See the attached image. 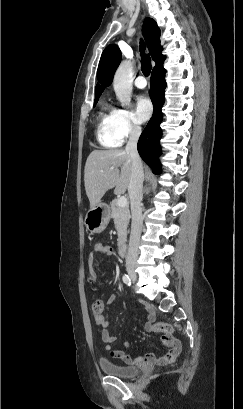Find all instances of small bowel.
Instances as JSON below:
<instances>
[{
    "label": "small bowel",
    "mask_w": 243,
    "mask_h": 409,
    "mask_svg": "<svg viewBox=\"0 0 243 409\" xmlns=\"http://www.w3.org/2000/svg\"><path fill=\"white\" fill-rule=\"evenodd\" d=\"M114 254V248L112 246L98 243L94 246L93 251L88 255V265L90 267V274L91 279L93 282L98 281V277L94 270V264L97 255L101 256H110ZM115 300V296H111L108 299V303L111 304ZM144 310L147 315V320L144 325V329L146 332H152L153 326L156 318V314L154 310L148 306L144 305ZM94 320L98 327L101 328V338L103 343L105 344V350L109 353V355L115 359H120L124 361L126 364H134L139 363L141 365H150V364H157V365H169L176 361L178 356L181 354V343L179 339L173 336V334L165 333L161 337V345L164 348V354L157 356L154 354L144 355L139 358L133 359L131 356L126 354L123 351L115 349L113 347V343L116 340V337L109 332L108 326L109 321L103 314V309L100 313L94 314ZM129 345L128 342L124 343V346L127 347Z\"/></svg>",
    "instance_id": "obj_1"
}]
</instances>
